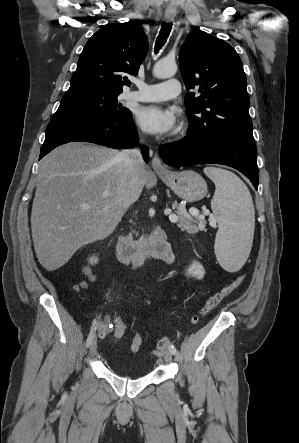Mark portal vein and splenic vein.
I'll return each mask as SVG.
<instances>
[{"instance_id":"1","label":"portal vein and splenic vein","mask_w":299,"mask_h":443,"mask_svg":"<svg viewBox=\"0 0 299 443\" xmlns=\"http://www.w3.org/2000/svg\"><path fill=\"white\" fill-rule=\"evenodd\" d=\"M81 207L86 209V208H89V205L88 204H84ZM164 214L169 215V219H170L171 222H173V223L177 222V216L175 214H171V210L170 209H166L164 211ZM192 214L195 215L194 212Z\"/></svg>"}]
</instances>
